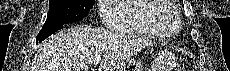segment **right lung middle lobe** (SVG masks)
Here are the masks:
<instances>
[{
  "label": "right lung middle lobe",
  "mask_w": 230,
  "mask_h": 71,
  "mask_svg": "<svg viewBox=\"0 0 230 71\" xmlns=\"http://www.w3.org/2000/svg\"><path fill=\"white\" fill-rule=\"evenodd\" d=\"M49 3L44 28L81 20L87 16L95 0H49Z\"/></svg>",
  "instance_id": "obj_1"
}]
</instances>
